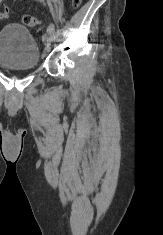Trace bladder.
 I'll return each instance as SVG.
<instances>
[{"mask_svg": "<svg viewBox=\"0 0 163 235\" xmlns=\"http://www.w3.org/2000/svg\"><path fill=\"white\" fill-rule=\"evenodd\" d=\"M40 49L33 34L12 23L0 30V65L14 69H32L39 65Z\"/></svg>", "mask_w": 163, "mask_h": 235, "instance_id": "1", "label": "bladder"}]
</instances>
